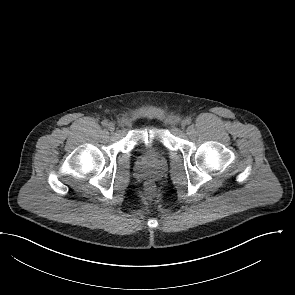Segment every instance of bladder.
I'll return each mask as SVG.
<instances>
[{"mask_svg": "<svg viewBox=\"0 0 295 295\" xmlns=\"http://www.w3.org/2000/svg\"><path fill=\"white\" fill-rule=\"evenodd\" d=\"M150 146H151V147H153V146H154V143H153V142H152V143H150Z\"/></svg>", "mask_w": 295, "mask_h": 295, "instance_id": "1", "label": "bladder"}]
</instances>
